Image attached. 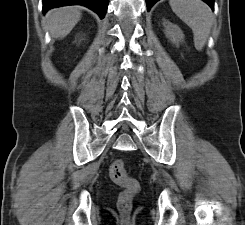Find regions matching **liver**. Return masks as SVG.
Listing matches in <instances>:
<instances>
[{"label": "liver", "mask_w": 245, "mask_h": 225, "mask_svg": "<svg viewBox=\"0 0 245 225\" xmlns=\"http://www.w3.org/2000/svg\"><path fill=\"white\" fill-rule=\"evenodd\" d=\"M81 19L78 7H60L51 9L45 15L47 30L55 38L66 37Z\"/></svg>", "instance_id": "1"}]
</instances>
